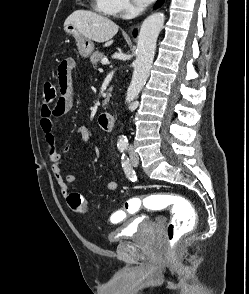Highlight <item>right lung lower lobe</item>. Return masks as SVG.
Returning a JSON list of instances; mask_svg holds the SVG:
<instances>
[{
    "label": "right lung lower lobe",
    "mask_w": 249,
    "mask_h": 294,
    "mask_svg": "<svg viewBox=\"0 0 249 294\" xmlns=\"http://www.w3.org/2000/svg\"><path fill=\"white\" fill-rule=\"evenodd\" d=\"M164 0H158L155 4V8L160 7L163 4ZM134 35H136V31L134 32Z\"/></svg>",
    "instance_id": "98d812e1"
}]
</instances>
